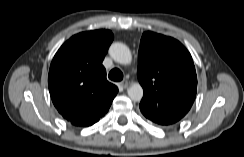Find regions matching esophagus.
Masks as SVG:
<instances>
[{
  "mask_svg": "<svg viewBox=\"0 0 244 157\" xmlns=\"http://www.w3.org/2000/svg\"><path fill=\"white\" fill-rule=\"evenodd\" d=\"M128 85H129V83H128L127 80H123V81L120 82V86H121L122 88H124V89L127 88Z\"/></svg>",
  "mask_w": 244,
  "mask_h": 157,
  "instance_id": "34e87169",
  "label": "esophagus"
}]
</instances>
